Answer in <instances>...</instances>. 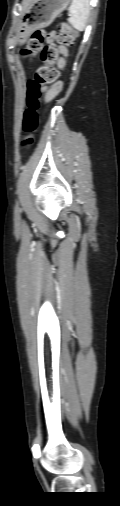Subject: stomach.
<instances>
[{"label":"stomach","mask_w":120,"mask_h":506,"mask_svg":"<svg viewBox=\"0 0 120 506\" xmlns=\"http://www.w3.org/2000/svg\"><path fill=\"white\" fill-rule=\"evenodd\" d=\"M69 3L70 0H32L16 33L18 44H24L33 29L48 26Z\"/></svg>","instance_id":"obj_1"}]
</instances>
